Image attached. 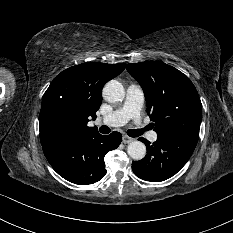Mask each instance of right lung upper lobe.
<instances>
[{
	"label": "right lung upper lobe",
	"instance_id": "cb5924a9",
	"mask_svg": "<svg viewBox=\"0 0 233 233\" xmlns=\"http://www.w3.org/2000/svg\"><path fill=\"white\" fill-rule=\"evenodd\" d=\"M123 70V64L88 62L62 71L43 95L39 116L41 144L98 132L87 126L89 118H96L105 83Z\"/></svg>",
	"mask_w": 233,
	"mask_h": 233
}]
</instances>
